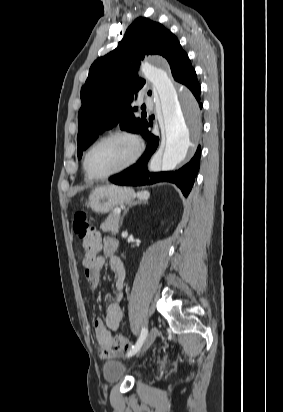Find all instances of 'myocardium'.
<instances>
[{
	"mask_svg": "<svg viewBox=\"0 0 283 412\" xmlns=\"http://www.w3.org/2000/svg\"><path fill=\"white\" fill-rule=\"evenodd\" d=\"M114 137H124L127 138L129 140L132 141V143L134 144V154L131 157V159L125 163L124 165H122L121 167L103 174V175H96L94 173L91 172V170L89 169L88 166V159L89 156L92 152V150L99 145L100 143H102L103 141H106L108 139L114 138ZM143 153V144L140 140V138L138 137V135H136L135 133L129 131V130H124V129H118V130H114L111 132H108L106 134H104L103 136L99 137L98 139H96L87 149L85 155H84V159H83V168L84 171L86 172V174L94 180H103V179H107L110 178L116 174H119L125 170H127L128 168H130L131 166H133L141 157Z\"/></svg>",
	"mask_w": 283,
	"mask_h": 412,
	"instance_id": "obj_1",
	"label": "myocardium"
}]
</instances>
